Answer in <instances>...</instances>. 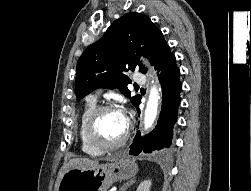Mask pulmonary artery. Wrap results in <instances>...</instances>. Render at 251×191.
<instances>
[{
  "instance_id": "pulmonary-artery-1",
  "label": "pulmonary artery",
  "mask_w": 251,
  "mask_h": 191,
  "mask_svg": "<svg viewBox=\"0 0 251 191\" xmlns=\"http://www.w3.org/2000/svg\"><path fill=\"white\" fill-rule=\"evenodd\" d=\"M135 72L137 71L136 69L134 70ZM134 82H139V86H144V82H145V73H134V78H133ZM87 99H96V97L94 95H89L85 98V101Z\"/></svg>"
}]
</instances>
